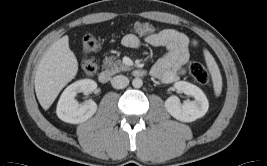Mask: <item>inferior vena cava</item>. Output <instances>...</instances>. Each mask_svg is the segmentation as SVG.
I'll list each match as a JSON object with an SVG mask.
<instances>
[{
	"label": "inferior vena cava",
	"instance_id": "602c4592",
	"mask_svg": "<svg viewBox=\"0 0 267 166\" xmlns=\"http://www.w3.org/2000/svg\"><path fill=\"white\" fill-rule=\"evenodd\" d=\"M111 84L116 89H123L129 84V79L124 75H117L113 77Z\"/></svg>",
	"mask_w": 267,
	"mask_h": 166
}]
</instances>
